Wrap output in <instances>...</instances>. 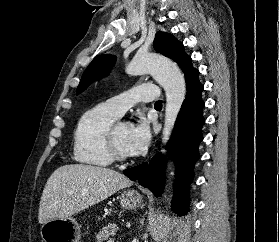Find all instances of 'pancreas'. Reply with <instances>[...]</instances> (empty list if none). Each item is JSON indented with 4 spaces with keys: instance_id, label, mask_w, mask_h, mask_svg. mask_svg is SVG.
<instances>
[{
    "instance_id": "obj_1",
    "label": "pancreas",
    "mask_w": 279,
    "mask_h": 242,
    "mask_svg": "<svg viewBox=\"0 0 279 242\" xmlns=\"http://www.w3.org/2000/svg\"><path fill=\"white\" fill-rule=\"evenodd\" d=\"M119 230L115 223H110L96 235L97 242H103L109 239L110 236H114Z\"/></svg>"
}]
</instances>
